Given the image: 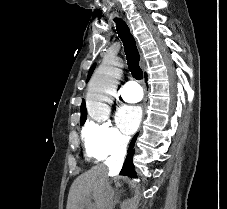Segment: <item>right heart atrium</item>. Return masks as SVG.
<instances>
[{
	"mask_svg": "<svg viewBox=\"0 0 227 209\" xmlns=\"http://www.w3.org/2000/svg\"><path fill=\"white\" fill-rule=\"evenodd\" d=\"M129 140V137L110 121H90L82 131L85 152L89 158L96 161L124 154Z\"/></svg>",
	"mask_w": 227,
	"mask_h": 209,
	"instance_id": "1",
	"label": "right heart atrium"
}]
</instances>
